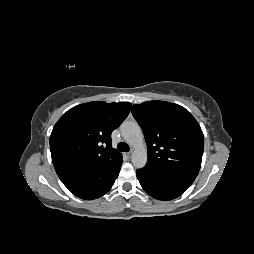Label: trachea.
Here are the masks:
<instances>
[{
  "label": "trachea",
  "instance_id": "trachea-1",
  "mask_svg": "<svg viewBox=\"0 0 254 254\" xmlns=\"http://www.w3.org/2000/svg\"><path fill=\"white\" fill-rule=\"evenodd\" d=\"M117 149L121 152H128L130 150L128 144L125 142H120L117 146Z\"/></svg>",
  "mask_w": 254,
  "mask_h": 254
}]
</instances>
